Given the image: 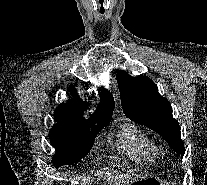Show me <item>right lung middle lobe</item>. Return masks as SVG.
<instances>
[{"mask_svg": "<svg viewBox=\"0 0 207 185\" xmlns=\"http://www.w3.org/2000/svg\"><path fill=\"white\" fill-rule=\"evenodd\" d=\"M101 129L90 131L89 128L64 124L53 127L49 138L56 148V154L52 158L54 166L58 168L70 165L86 156L93 146L96 134Z\"/></svg>", "mask_w": 207, "mask_h": 185, "instance_id": "dd1d6c3e", "label": "right lung middle lobe"}]
</instances>
